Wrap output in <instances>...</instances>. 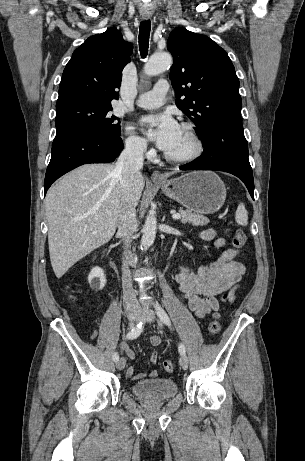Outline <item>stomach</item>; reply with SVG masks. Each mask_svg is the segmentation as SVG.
<instances>
[{
  "label": "stomach",
  "mask_w": 305,
  "mask_h": 461,
  "mask_svg": "<svg viewBox=\"0 0 305 461\" xmlns=\"http://www.w3.org/2000/svg\"><path fill=\"white\" fill-rule=\"evenodd\" d=\"M163 193L198 214L217 212L226 199V188L217 174L193 171L180 177L157 183Z\"/></svg>",
  "instance_id": "1"
}]
</instances>
